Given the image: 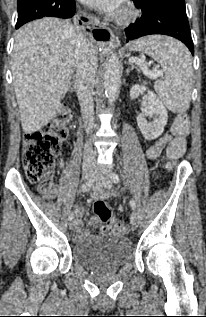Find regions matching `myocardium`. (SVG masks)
<instances>
[{
  "instance_id": "1",
  "label": "myocardium",
  "mask_w": 206,
  "mask_h": 317,
  "mask_svg": "<svg viewBox=\"0 0 206 317\" xmlns=\"http://www.w3.org/2000/svg\"><path fill=\"white\" fill-rule=\"evenodd\" d=\"M136 10L131 6H125L118 14L117 20L121 24L131 22L136 17Z\"/></svg>"
}]
</instances>
